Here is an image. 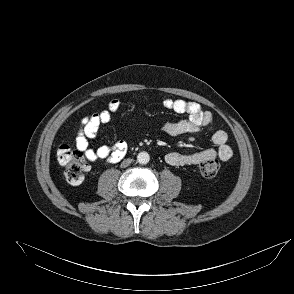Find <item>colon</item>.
I'll return each mask as SVG.
<instances>
[{
	"label": "colon",
	"instance_id": "1",
	"mask_svg": "<svg viewBox=\"0 0 294 294\" xmlns=\"http://www.w3.org/2000/svg\"><path fill=\"white\" fill-rule=\"evenodd\" d=\"M57 160L64 168V177L68 183L77 185L83 181L88 164L80 150L63 144L57 150ZM199 169L203 177L212 178L218 173L220 164L216 158H207L200 163Z\"/></svg>",
	"mask_w": 294,
	"mask_h": 294
}]
</instances>
